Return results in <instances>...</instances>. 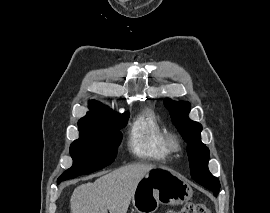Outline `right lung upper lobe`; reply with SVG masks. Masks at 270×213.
I'll use <instances>...</instances> for the list:
<instances>
[{
    "instance_id": "1",
    "label": "right lung upper lobe",
    "mask_w": 270,
    "mask_h": 213,
    "mask_svg": "<svg viewBox=\"0 0 270 213\" xmlns=\"http://www.w3.org/2000/svg\"><path fill=\"white\" fill-rule=\"evenodd\" d=\"M90 112L86 114L85 117L81 118L79 122H103V121H112L121 116L120 114L113 113L110 109L103 106L101 103L92 100L89 102Z\"/></svg>"
}]
</instances>
